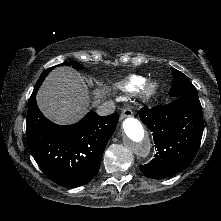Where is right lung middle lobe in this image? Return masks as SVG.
<instances>
[{"label": "right lung middle lobe", "mask_w": 221, "mask_h": 221, "mask_svg": "<svg viewBox=\"0 0 221 221\" xmlns=\"http://www.w3.org/2000/svg\"><path fill=\"white\" fill-rule=\"evenodd\" d=\"M61 65L72 66V67H74V68H76V69H82V68H83L82 65H80L78 62H72V61H66V62L62 63ZM53 68H55V66H54V67H51V68H49V69H47V70H45V71L42 73V75L40 76V78H39V80H38L37 83L43 81V80L45 79V77L47 76V74H48Z\"/></svg>", "instance_id": "1"}]
</instances>
